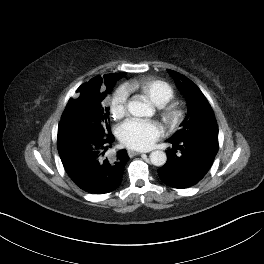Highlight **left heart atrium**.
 <instances>
[{
	"instance_id": "left-heart-atrium-1",
	"label": "left heart atrium",
	"mask_w": 264,
	"mask_h": 264,
	"mask_svg": "<svg viewBox=\"0 0 264 264\" xmlns=\"http://www.w3.org/2000/svg\"><path fill=\"white\" fill-rule=\"evenodd\" d=\"M162 126L152 120L132 118L125 121L118 129L119 139L126 146L146 150L162 136Z\"/></svg>"
}]
</instances>
